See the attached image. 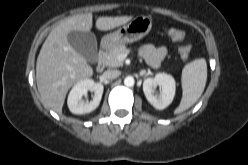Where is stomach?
Instances as JSON below:
<instances>
[{
	"label": "stomach",
	"instance_id": "stomach-1",
	"mask_svg": "<svg viewBox=\"0 0 248 165\" xmlns=\"http://www.w3.org/2000/svg\"><path fill=\"white\" fill-rule=\"evenodd\" d=\"M152 28V19L147 16H137L126 25L103 37L105 47L133 43L147 35Z\"/></svg>",
	"mask_w": 248,
	"mask_h": 165
}]
</instances>
